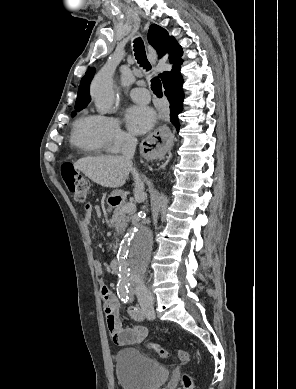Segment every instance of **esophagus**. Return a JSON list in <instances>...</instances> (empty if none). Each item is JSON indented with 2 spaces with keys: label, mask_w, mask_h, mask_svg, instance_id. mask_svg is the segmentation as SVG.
Segmentation results:
<instances>
[{
  "label": "esophagus",
  "mask_w": 296,
  "mask_h": 389,
  "mask_svg": "<svg viewBox=\"0 0 296 389\" xmlns=\"http://www.w3.org/2000/svg\"><path fill=\"white\" fill-rule=\"evenodd\" d=\"M148 58L152 63H156V52L148 45ZM176 141V134L170 131V126L166 122H161L149 135L142 137V148L148 161L153 162L156 158L164 157L167 151L172 149V144Z\"/></svg>",
  "instance_id": "obj_1"
}]
</instances>
